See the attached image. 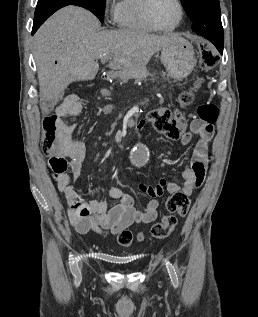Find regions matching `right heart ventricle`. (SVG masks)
<instances>
[{
	"mask_svg": "<svg viewBox=\"0 0 258 317\" xmlns=\"http://www.w3.org/2000/svg\"><path fill=\"white\" fill-rule=\"evenodd\" d=\"M148 0H117L116 23L120 29L137 33H152L144 19V9Z\"/></svg>",
	"mask_w": 258,
	"mask_h": 317,
	"instance_id": "e07e8e85",
	"label": "right heart ventricle"
}]
</instances>
